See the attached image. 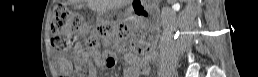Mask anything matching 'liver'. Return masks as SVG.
<instances>
[{
    "mask_svg": "<svg viewBox=\"0 0 258 77\" xmlns=\"http://www.w3.org/2000/svg\"><path fill=\"white\" fill-rule=\"evenodd\" d=\"M131 0H85L87 2L88 7L97 12H104L107 9H112L118 7L122 4H127ZM75 2H83L79 0H75Z\"/></svg>",
    "mask_w": 258,
    "mask_h": 77,
    "instance_id": "1",
    "label": "liver"
}]
</instances>
